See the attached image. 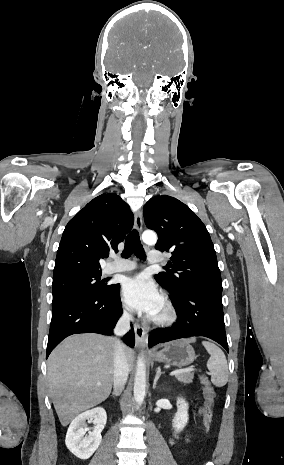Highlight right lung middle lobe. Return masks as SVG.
I'll use <instances>...</instances> for the list:
<instances>
[{
  "label": "right lung middle lobe",
  "instance_id": "dd1d6c3e",
  "mask_svg": "<svg viewBox=\"0 0 284 465\" xmlns=\"http://www.w3.org/2000/svg\"><path fill=\"white\" fill-rule=\"evenodd\" d=\"M102 273L78 274L53 280V301L77 292H105L113 287L101 280Z\"/></svg>",
  "mask_w": 284,
  "mask_h": 465
}]
</instances>
